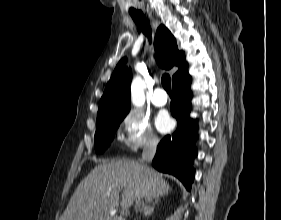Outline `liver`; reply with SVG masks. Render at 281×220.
<instances>
[{"label": "liver", "mask_w": 281, "mask_h": 220, "mask_svg": "<svg viewBox=\"0 0 281 220\" xmlns=\"http://www.w3.org/2000/svg\"><path fill=\"white\" fill-rule=\"evenodd\" d=\"M148 179L149 186H145ZM170 186L161 174L129 160L97 165L74 191L60 220H110V212L122 200L135 202L140 212L155 198L167 195ZM143 194L141 195V192ZM138 211V210H137Z\"/></svg>", "instance_id": "6515ba94"}]
</instances>
